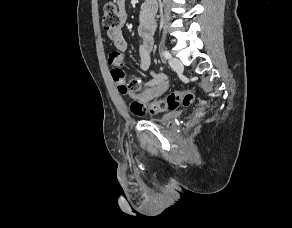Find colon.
<instances>
[{"label": "colon", "instance_id": "1", "mask_svg": "<svg viewBox=\"0 0 292 228\" xmlns=\"http://www.w3.org/2000/svg\"><path fill=\"white\" fill-rule=\"evenodd\" d=\"M102 24L106 30H111L121 24L119 9L114 2H107L103 8ZM108 63L112 67V75L118 88L123 93H135L139 89V83L136 79L126 81L124 72L121 70L123 63L122 56L114 51L109 54ZM194 101V93L191 90L174 91L169 93L165 98L160 99L150 105L135 100L131 103V110L136 115H143L147 111H166L175 110L180 106H188ZM205 102H202L195 112L193 120L199 118L203 113Z\"/></svg>", "mask_w": 292, "mask_h": 228}]
</instances>
